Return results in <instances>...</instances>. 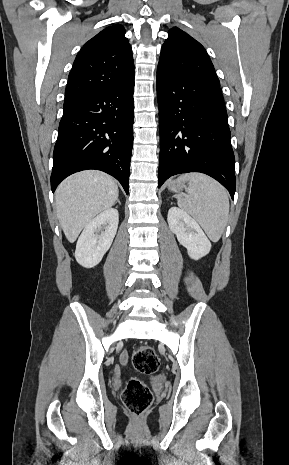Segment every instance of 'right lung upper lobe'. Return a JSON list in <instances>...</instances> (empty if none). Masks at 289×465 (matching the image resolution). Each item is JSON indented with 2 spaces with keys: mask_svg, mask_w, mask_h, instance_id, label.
Masks as SVG:
<instances>
[{
  "mask_svg": "<svg viewBox=\"0 0 289 465\" xmlns=\"http://www.w3.org/2000/svg\"><path fill=\"white\" fill-rule=\"evenodd\" d=\"M121 25L107 27L79 51L69 74L64 106L126 83L134 76L132 49Z\"/></svg>",
  "mask_w": 289,
  "mask_h": 465,
  "instance_id": "1",
  "label": "right lung upper lobe"
}]
</instances>
